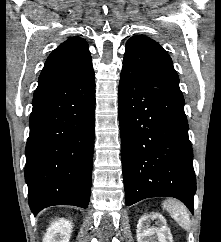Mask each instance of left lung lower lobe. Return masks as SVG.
Listing matches in <instances>:
<instances>
[{
	"mask_svg": "<svg viewBox=\"0 0 221 242\" xmlns=\"http://www.w3.org/2000/svg\"><path fill=\"white\" fill-rule=\"evenodd\" d=\"M118 112L126 205L170 196L193 213L196 178L183 95L153 87L123 67Z\"/></svg>",
	"mask_w": 221,
	"mask_h": 242,
	"instance_id": "obj_1",
	"label": "left lung lower lobe"
}]
</instances>
